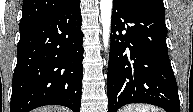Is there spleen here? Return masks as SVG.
<instances>
[{"mask_svg":"<svg viewBox=\"0 0 193 112\" xmlns=\"http://www.w3.org/2000/svg\"><path fill=\"white\" fill-rule=\"evenodd\" d=\"M122 112H160V110L150 105L134 104L124 108Z\"/></svg>","mask_w":193,"mask_h":112,"instance_id":"1","label":"spleen"}]
</instances>
